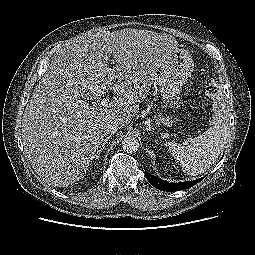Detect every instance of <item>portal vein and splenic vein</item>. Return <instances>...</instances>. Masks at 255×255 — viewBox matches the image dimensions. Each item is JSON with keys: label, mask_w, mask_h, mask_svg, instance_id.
Instances as JSON below:
<instances>
[{"label": "portal vein and splenic vein", "mask_w": 255, "mask_h": 255, "mask_svg": "<svg viewBox=\"0 0 255 255\" xmlns=\"http://www.w3.org/2000/svg\"><path fill=\"white\" fill-rule=\"evenodd\" d=\"M109 102V97H105L102 99V101L99 103L100 106H106ZM84 106L88 109H92L94 105H89L87 102L84 103Z\"/></svg>", "instance_id": "1"}]
</instances>
